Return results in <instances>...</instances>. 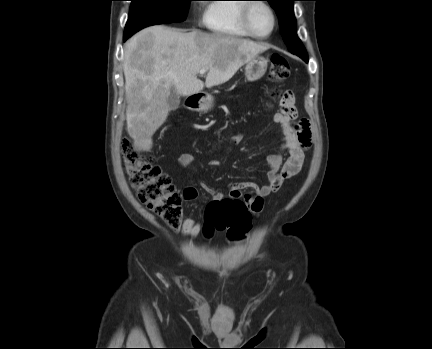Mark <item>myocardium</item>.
<instances>
[{"label":"myocardium","mask_w":432,"mask_h":349,"mask_svg":"<svg viewBox=\"0 0 432 349\" xmlns=\"http://www.w3.org/2000/svg\"><path fill=\"white\" fill-rule=\"evenodd\" d=\"M252 2H247L246 4H243L242 8H241V13H240V23L242 28L247 32V34L255 39H259V40H264L269 38L273 32L276 29L277 26V15L276 12L274 10V8L271 6V4H269L267 1L264 0H250ZM263 5L265 6L271 16H272V27L271 30L265 34V35H259L257 33H255V31L252 29L251 24H250V13L253 9V7L255 5Z\"/></svg>","instance_id":"1"}]
</instances>
